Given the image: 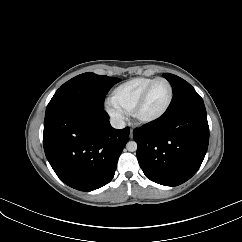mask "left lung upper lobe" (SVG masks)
Returning a JSON list of instances; mask_svg holds the SVG:
<instances>
[{
	"label": "left lung upper lobe",
	"mask_w": 242,
	"mask_h": 242,
	"mask_svg": "<svg viewBox=\"0 0 242 242\" xmlns=\"http://www.w3.org/2000/svg\"><path fill=\"white\" fill-rule=\"evenodd\" d=\"M163 76L170 82L173 89L172 102L167 111L188 103L203 101L194 88L182 78L170 73H165Z\"/></svg>",
	"instance_id": "1"
}]
</instances>
